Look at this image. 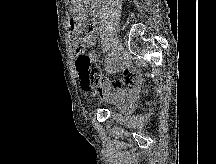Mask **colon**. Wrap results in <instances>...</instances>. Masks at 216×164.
I'll return each mask as SVG.
<instances>
[{
	"label": "colon",
	"mask_w": 216,
	"mask_h": 164,
	"mask_svg": "<svg viewBox=\"0 0 216 164\" xmlns=\"http://www.w3.org/2000/svg\"><path fill=\"white\" fill-rule=\"evenodd\" d=\"M73 45L77 53L83 52L84 43L81 38H76ZM76 67L80 79V85L84 90H93L100 85L102 81L101 74L98 68L94 65L91 56L87 54L79 55L76 60Z\"/></svg>",
	"instance_id": "colon-1"
}]
</instances>
